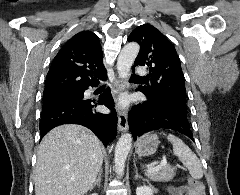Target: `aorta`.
<instances>
[{
    "instance_id": "aorta-1",
    "label": "aorta",
    "mask_w": 240,
    "mask_h": 195,
    "mask_svg": "<svg viewBox=\"0 0 240 195\" xmlns=\"http://www.w3.org/2000/svg\"><path fill=\"white\" fill-rule=\"evenodd\" d=\"M140 46L136 42H130L122 48L117 60V72L119 78H128L131 66L139 54ZM132 145L131 133H123L117 141L114 153L115 171L117 175H123L125 161Z\"/></svg>"
}]
</instances>
